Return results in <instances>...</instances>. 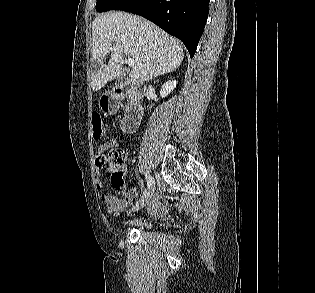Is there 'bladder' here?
I'll use <instances>...</instances> for the list:
<instances>
[{
    "instance_id": "bladder-1",
    "label": "bladder",
    "mask_w": 315,
    "mask_h": 293,
    "mask_svg": "<svg viewBox=\"0 0 315 293\" xmlns=\"http://www.w3.org/2000/svg\"><path fill=\"white\" fill-rule=\"evenodd\" d=\"M129 225L138 230H148L152 227V223L146 219L134 220Z\"/></svg>"
}]
</instances>
